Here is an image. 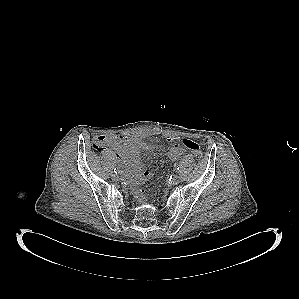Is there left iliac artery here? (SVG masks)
I'll list each match as a JSON object with an SVG mask.
<instances>
[{
  "mask_svg": "<svg viewBox=\"0 0 299 299\" xmlns=\"http://www.w3.org/2000/svg\"><path fill=\"white\" fill-rule=\"evenodd\" d=\"M179 169H180V165L179 164H175V170L179 171Z\"/></svg>",
  "mask_w": 299,
  "mask_h": 299,
  "instance_id": "44dca946",
  "label": "left iliac artery"
}]
</instances>
